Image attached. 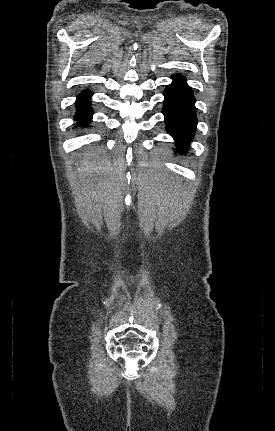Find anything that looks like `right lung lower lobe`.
<instances>
[{"label": "right lung lower lobe", "instance_id": "1", "mask_svg": "<svg viewBox=\"0 0 275 431\" xmlns=\"http://www.w3.org/2000/svg\"><path fill=\"white\" fill-rule=\"evenodd\" d=\"M91 95L90 91L85 90L77 98L75 120H77V125L79 126H88L92 120Z\"/></svg>", "mask_w": 275, "mask_h": 431}]
</instances>
